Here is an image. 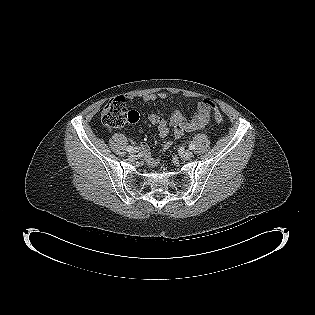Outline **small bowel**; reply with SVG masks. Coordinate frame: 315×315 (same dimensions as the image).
<instances>
[{
  "label": "small bowel",
  "mask_w": 315,
  "mask_h": 315,
  "mask_svg": "<svg viewBox=\"0 0 315 315\" xmlns=\"http://www.w3.org/2000/svg\"><path fill=\"white\" fill-rule=\"evenodd\" d=\"M173 98V96L165 92L144 94L141 97L144 102H153L157 99L166 100ZM210 111V108L202 101L197 105L196 110L189 120H187L178 110H175L172 113L169 121L156 113L149 114L148 119L153 125L157 127L160 137L165 138L171 135L175 138H179L184 133L197 131L203 128L209 121ZM168 147L169 144L167 143L163 146V149H167ZM146 161L149 166L153 167L157 165L159 157L146 155Z\"/></svg>",
  "instance_id": "1"
}]
</instances>
